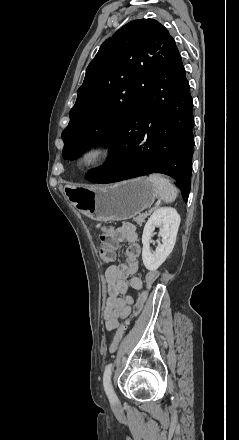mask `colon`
Segmentation results:
<instances>
[{
    "instance_id": "colon-1",
    "label": "colon",
    "mask_w": 239,
    "mask_h": 440,
    "mask_svg": "<svg viewBox=\"0 0 239 440\" xmlns=\"http://www.w3.org/2000/svg\"><path fill=\"white\" fill-rule=\"evenodd\" d=\"M100 241H101V247H100L101 258L104 261H109L111 259V256H112V254L114 252V248H115V239H114L113 229L111 227H106V226L101 227ZM158 276H159V273L157 271H152V272L148 273V275L146 276L145 290L141 293L137 302L135 303L131 317L126 319L118 327V329L116 330V332L112 338L111 345L109 348V351L111 353H114L117 350L119 343H120L123 335L125 334L128 326L130 324L131 318H133L141 313V311L144 307V304L147 300L148 293H149L150 289L152 288L153 283L158 278Z\"/></svg>"
}]
</instances>
